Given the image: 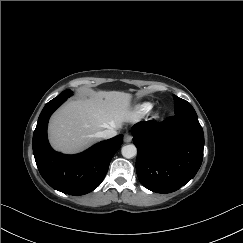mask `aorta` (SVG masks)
I'll return each mask as SVG.
<instances>
[{
	"label": "aorta",
	"mask_w": 243,
	"mask_h": 243,
	"mask_svg": "<svg viewBox=\"0 0 243 243\" xmlns=\"http://www.w3.org/2000/svg\"><path fill=\"white\" fill-rule=\"evenodd\" d=\"M121 153L123 157L130 159L136 156L137 154V148L133 144H128L122 147Z\"/></svg>",
	"instance_id": "1"
}]
</instances>
